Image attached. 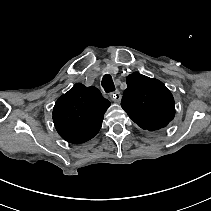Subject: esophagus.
I'll return each mask as SVG.
<instances>
[{"label": "esophagus", "instance_id": "34e87169", "mask_svg": "<svg viewBox=\"0 0 211 211\" xmlns=\"http://www.w3.org/2000/svg\"><path fill=\"white\" fill-rule=\"evenodd\" d=\"M110 98H111L114 102L120 103V101H121V99H122V95H121V93H120L119 90H116L114 93H112V94L110 95Z\"/></svg>", "mask_w": 211, "mask_h": 211}]
</instances>
